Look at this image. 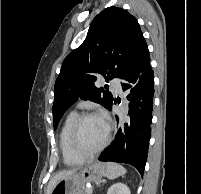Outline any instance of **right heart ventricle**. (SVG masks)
Segmentation results:
<instances>
[{
    "mask_svg": "<svg viewBox=\"0 0 201 194\" xmlns=\"http://www.w3.org/2000/svg\"><path fill=\"white\" fill-rule=\"evenodd\" d=\"M78 116L77 112L71 111L65 117L60 132H59V147L63 163L68 166H75L81 164L84 158L76 155L70 146V130L75 118Z\"/></svg>",
    "mask_w": 201,
    "mask_h": 194,
    "instance_id": "e07e8e85",
    "label": "right heart ventricle"
}]
</instances>
